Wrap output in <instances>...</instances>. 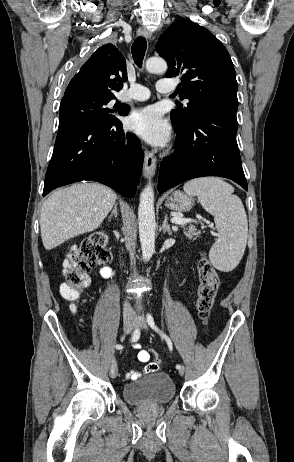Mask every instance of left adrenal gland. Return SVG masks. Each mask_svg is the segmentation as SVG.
I'll return each instance as SVG.
<instances>
[{
	"label": "left adrenal gland",
	"mask_w": 294,
	"mask_h": 462,
	"mask_svg": "<svg viewBox=\"0 0 294 462\" xmlns=\"http://www.w3.org/2000/svg\"><path fill=\"white\" fill-rule=\"evenodd\" d=\"M162 229H163V233H168V235H171L172 234V230H171V227L170 225L168 224V216L167 214L165 215V218H164V221H163V224H162Z\"/></svg>",
	"instance_id": "a2214340"
}]
</instances>
